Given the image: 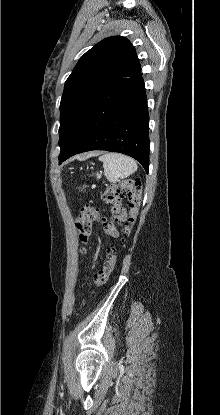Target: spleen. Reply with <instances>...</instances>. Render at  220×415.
Returning <instances> with one entry per match:
<instances>
[{
  "label": "spleen",
  "instance_id": "spleen-1",
  "mask_svg": "<svg viewBox=\"0 0 220 415\" xmlns=\"http://www.w3.org/2000/svg\"><path fill=\"white\" fill-rule=\"evenodd\" d=\"M99 160L103 162L104 175L111 183L124 179L137 171L136 162L126 155L106 153L101 155ZM97 178H100L99 174H97Z\"/></svg>",
  "mask_w": 220,
  "mask_h": 415
}]
</instances>
